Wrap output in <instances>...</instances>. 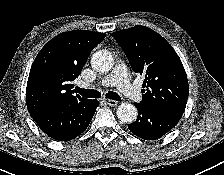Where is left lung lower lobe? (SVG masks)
Masks as SVG:
<instances>
[{"label": "left lung lower lobe", "mask_w": 224, "mask_h": 175, "mask_svg": "<svg viewBox=\"0 0 224 175\" xmlns=\"http://www.w3.org/2000/svg\"><path fill=\"white\" fill-rule=\"evenodd\" d=\"M138 117L128 128L144 140H155L168 133L181 119L182 114L134 103Z\"/></svg>", "instance_id": "1"}]
</instances>
